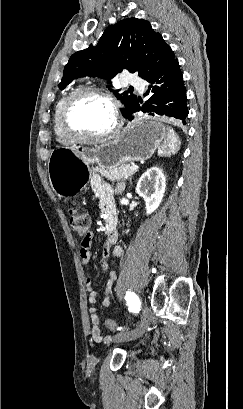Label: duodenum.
<instances>
[{"label": "duodenum", "mask_w": 243, "mask_h": 409, "mask_svg": "<svg viewBox=\"0 0 243 409\" xmlns=\"http://www.w3.org/2000/svg\"><path fill=\"white\" fill-rule=\"evenodd\" d=\"M106 218V233L107 235H111L115 232L116 224H117V217L116 213L113 211H108Z\"/></svg>", "instance_id": "1"}]
</instances>
